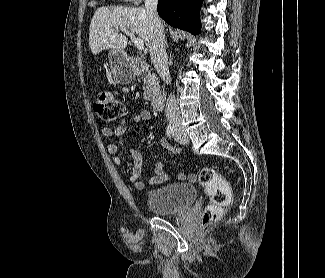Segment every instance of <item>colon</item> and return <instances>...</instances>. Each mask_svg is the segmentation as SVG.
Wrapping results in <instances>:
<instances>
[{
    "instance_id": "1",
    "label": "colon",
    "mask_w": 325,
    "mask_h": 278,
    "mask_svg": "<svg viewBox=\"0 0 325 278\" xmlns=\"http://www.w3.org/2000/svg\"><path fill=\"white\" fill-rule=\"evenodd\" d=\"M93 107L97 116L107 123L118 121L125 114L124 104L109 91L100 92ZM189 179L195 181L194 176H190ZM198 182L210 198V203L205 208L200 221V227L204 228L221 219L226 206L231 201L232 191L228 181L210 167L200 170Z\"/></svg>"
}]
</instances>
